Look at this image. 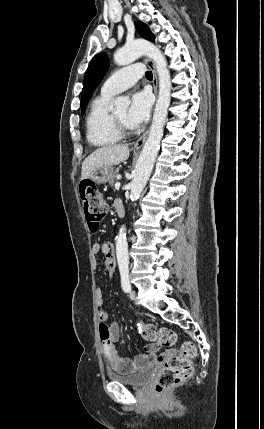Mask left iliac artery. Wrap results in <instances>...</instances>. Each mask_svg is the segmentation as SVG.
<instances>
[{"instance_id":"left-iliac-artery-1","label":"left iliac artery","mask_w":264,"mask_h":429,"mask_svg":"<svg viewBox=\"0 0 264 429\" xmlns=\"http://www.w3.org/2000/svg\"><path fill=\"white\" fill-rule=\"evenodd\" d=\"M120 275H121L122 289L125 292H129L131 290V284L129 281V270H128V268H121L120 269Z\"/></svg>"}]
</instances>
